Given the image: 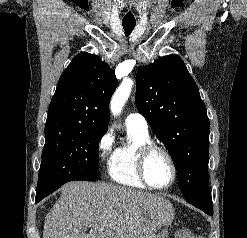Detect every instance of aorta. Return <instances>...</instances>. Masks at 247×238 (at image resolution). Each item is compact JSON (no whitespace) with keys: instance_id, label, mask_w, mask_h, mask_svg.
Listing matches in <instances>:
<instances>
[{"instance_id":"1","label":"aorta","mask_w":247,"mask_h":238,"mask_svg":"<svg viewBox=\"0 0 247 238\" xmlns=\"http://www.w3.org/2000/svg\"><path fill=\"white\" fill-rule=\"evenodd\" d=\"M132 86L133 82L130 79H125L114 93L110 103V110L114 116L121 112L131 93Z\"/></svg>"}]
</instances>
